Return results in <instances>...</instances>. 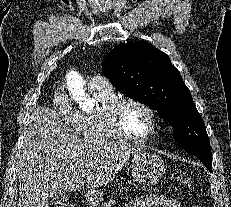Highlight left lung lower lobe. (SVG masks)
Returning <instances> with one entry per match:
<instances>
[{
	"label": "left lung lower lobe",
	"instance_id": "0a47b994",
	"mask_svg": "<svg viewBox=\"0 0 231 207\" xmlns=\"http://www.w3.org/2000/svg\"><path fill=\"white\" fill-rule=\"evenodd\" d=\"M199 160L206 166V168L209 170V171H212V161H206L204 159H200Z\"/></svg>",
	"mask_w": 231,
	"mask_h": 207
}]
</instances>
